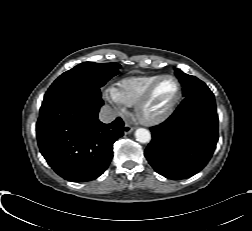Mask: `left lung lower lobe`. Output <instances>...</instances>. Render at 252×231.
<instances>
[{
	"instance_id": "0a47b994",
	"label": "left lung lower lobe",
	"mask_w": 252,
	"mask_h": 231,
	"mask_svg": "<svg viewBox=\"0 0 252 231\" xmlns=\"http://www.w3.org/2000/svg\"><path fill=\"white\" fill-rule=\"evenodd\" d=\"M144 154L160 175L185 179L203 169L218 141V116L212 92L184 98L163 123L150 128Z\"/></svg>"
}]
</instances>
